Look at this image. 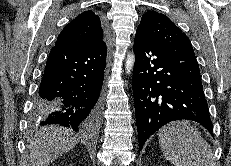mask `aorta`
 Wrapping results in <instances>:
<instances>
[{"label": "aorta", "instance_id": "1", "mask_svg": "<svg viewBox=\"0 0 231 166\" xmlns=\"http://www.w3.org/2000/svg\"><path fill=\"white\" fill-rule=\"evenodd\" d=\"M135 62L134 54L130 53L127 55L126 62H125V70L127 74H130L133 70Z\"/></svg>", "mask_w": 231, "mask_h": 166}]
</instances>
